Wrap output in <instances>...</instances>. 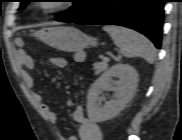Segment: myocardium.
I'll return each mask as SVG.
<instances>
[{
  "label": "myocardium",
  "mask_w": 182,
  "mask_h": 140,
  "mask_svg": "<svg viewBox=\"0 0 182 140\" xmlns=\"http://www.w3.org/2000/svg\"><path fill=\"white\" fill-rule=\"evenodd\" d=\"M48 1H66V0H48ZM36 7L41 12L45 14H49V13H55L62 10H66L70 7V5L68 3H62V2H53V3L43 2V3H39Z\"/></svg>",
  "instance_id": "myocardium-1"
}]
</instances>
